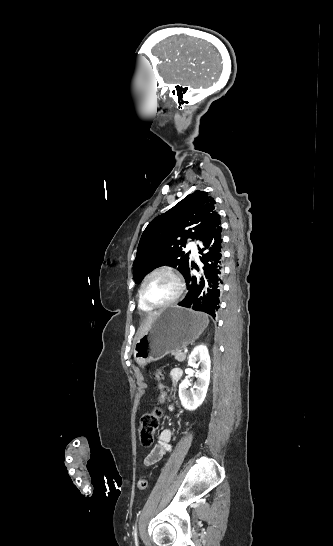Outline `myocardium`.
I'll return each mask as SVG.
<instances>
[{
  "instance_id": "f54148a6",
  "label": "myocardium",
  "mask_w": 333,
  "mask_h": 546,
  "mask_svg": "<svg viewBox=\"0 0 333 546\" xmlns=\"http://www.w3.org/2000/svg\"><path fill=\"white\" fill-rule=\"evenodd\" d=\"M160 273H167L169 275H171L174 280L176 281L177 283V292L176 294L168 301L164 302V303H161V304H155L153 302H151L146 294H145V288H146V285L147 283L149 282V280L154 277L155 275L157 274H160ZM184 289H185V283L183 281V278L181 277L180 273L173 267L171 266H162V267H159L155 270H153L151 273H149L147 275V277L144 279V281L142 282L141 284V287H140V296H141V299L143 300V302L151 307V308H164V307H167V306H170L172 304H174L175 302H177L179 300V298L182 296L183 292H184Z\"/></svg>"
}]
</instances>
